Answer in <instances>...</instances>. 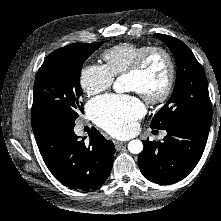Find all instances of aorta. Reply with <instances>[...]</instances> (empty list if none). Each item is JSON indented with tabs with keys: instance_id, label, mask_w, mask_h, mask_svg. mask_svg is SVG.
I'll list each match as a JSON object with an SVG mask.
<instances>
[{
	"instance_id": "obj_1",
	"label": "aorta",
	"mask_w": 221,
	"mask_h": 221,
	"mask_svg": "<svg viewBox=\"0 0 221 221\" xmlns=\"http://www.w3.org/2000/svg\"><path fill=\"white\" fill-rule=\"evenodd\" d=\"M113 89L117 93H123L125 91V87H124V85H123V83H122L120 78H118L114 82ZM128 150L132 154H139L143 150V143L140 140H138V139L131 140L128 143Z\"/></svg>"
}]
</instances>
